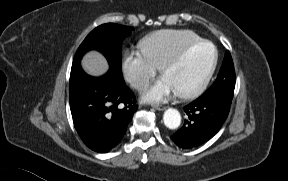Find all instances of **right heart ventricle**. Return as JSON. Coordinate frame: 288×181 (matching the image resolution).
I'll return each mask as SVG.
<instances>
[{
    "label": "right heart ventricle",
    "instance_id": "1",
    "mask_svg": "<svg viewBox=\"0 0 288 181\" xmlns=\"http://www.w3.org/2000/svg\"><path fill=\"white\" fill-rule=\"evenodd\" d=\"M201 39L191 30H161L145 38L141 50L159 69L183 47Z\"/></svg>",
    "mask_w": 288,
    "mask_h": 181
}]
</instances>
